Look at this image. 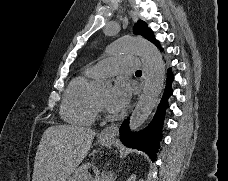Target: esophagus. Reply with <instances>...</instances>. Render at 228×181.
I'll return each instance as SVG.
<instances>
[{"label": "esophagus", "mask_w": 228, "mask_h": 181, "mask_svg": "<svg viewBox=\"0 0 228 181\" xmlns=\"http://www.w3.org/2000/svg\"><path fill=\"white\" fill-rule=\"evenodd\" d=\"M141 61H142V67H143V72H142V76H141V86H142V89L144 90L146 87V83H147L149 69H148V65H147L146 61L143 58H141ZM118 132H119V124L111 125V126H108L107 128H104V130L101 131L100 136L115 137L118 135Z\"/></svg>", "instance_id": "34e87169"}]
</instances>
